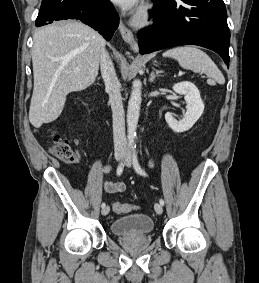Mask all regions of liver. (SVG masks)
I'll return each mask as SVG.
<instances>
[{
  "label": "liver",
  "instance_id": "liver-1",
  "mask_svg": "<svg viewBox=\"0 0 259 283\" xmlns=\"http://www.w3.org/2000/svg\"><path fill=\"white\" fill-rule=\"evenodd\" d=\"M104 47V38L78 21L54 23L35 32L34 88L29 109L34 127L56 120L69 93L84 90L95 82Z\"/></svg>",
  "mask_w": 259,
  "mask_h": 283
}]
</instances>
